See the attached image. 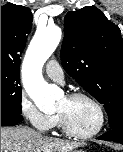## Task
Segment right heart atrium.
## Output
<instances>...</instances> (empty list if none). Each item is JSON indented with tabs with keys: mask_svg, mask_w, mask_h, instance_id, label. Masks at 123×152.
I'll list each match as a JSON object with an SVG mask.
<instances>
[{
	"mask_svg": "<svg viewBox=\"0 0 123 152\" xmlns=\"http://www.w3.org/2000/svg\"><path fill=\"white\" fill-rule=\"evenodd\" d=\"M20 112L22 116L37 130L48 131L55 126L56 116L40 111L25 94L20 97Z\"/></svg>",
	"mask_w": 123,
	"mask_h": 152,
	"instance_id": "obj_1",
	"label": "right heart atrium"
}]
</instances>
